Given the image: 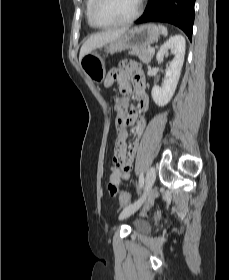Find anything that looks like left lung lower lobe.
Wrapping results in <instances>:
<instances>
[{
  "label": "left lung lower lobe",
  "mask_w": 229,
  "mask_h": 280,
  "mask_svg": "<svg viewBox=\"0 0 229 280\" xmlns=\"http://www.w3.org/2000/svg\"><path fill=\"white\" fill-rule=\"evenodd\" d=\"M195 0H149L145 13L136 24L166 22L179 27L189 39L192 37Z\"/></svg>",
  "instance_id": "left-lung-lower-lobe-1"
}]
</instances>
